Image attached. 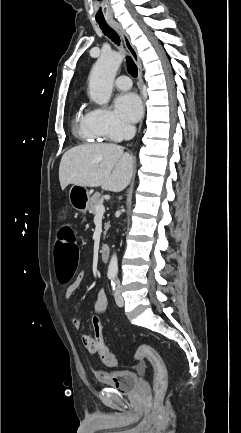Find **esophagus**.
Listing matches in <instances>:
<instances>
[{
  "label": "esophagus",
  "mask_w": 241,
  "mask_h": 433,
  "mask_svg": "<svg viewBox=\"0 0 241 433\" xmlns=\"http://www.w3.org/2000/svg\"><path fill=\"white\" fill-rule=\"evenodd\" d=\"M109 24L121 35L127 50L129 51L130 55L132 56L134 62L137 65L138 83H139V87H140V92L142 94V91H143L142 64H141V60H140V57L138 55L137 49L134 46V44L132 43V41L130 40V37L127 34V32L125 31V29L119 23H117L115 21H111V22H109ZM142 99H143V103H144L143 95H142ZM141 125H142V122L140 124V128H141Z\"/></svg>",
  "instance_id": "1"
}]
</instances>
